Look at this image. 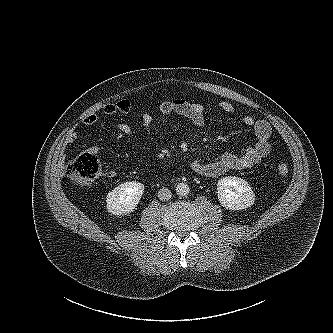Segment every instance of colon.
<instances>
[{
    "label": "colon",
    "mask_w": 333,
    "mask_h": 333,
    "mask_svg": "<svg viewBox=\"0 0 333 333\" xmlns=\"http://www.w3.org/2000/svg\"><path fill=\"white\" fill-rule=\"evenodd\" d=\"M277 170L280 175L285 176L289 172L288 165L279 160ZM70 182L75 186L91 185L101 174V165L96 155L85 151L70 160L65 168Z\"/></svg>",
    "instance_id": "1"
}]
</instances>
